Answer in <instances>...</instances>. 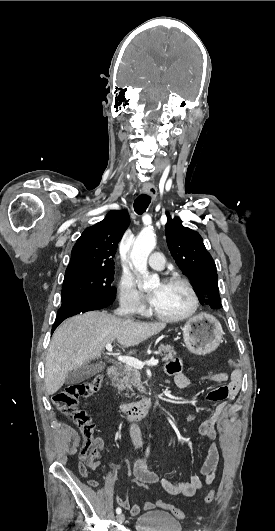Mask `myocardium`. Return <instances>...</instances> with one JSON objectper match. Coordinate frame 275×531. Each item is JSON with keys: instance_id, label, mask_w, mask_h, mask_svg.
Masks as SVG:
<instances>
[{"instance_id": "f54148a6", "label": "myocardium", "mask_w": 275, "mask_h": 531, "mask_svg": "<svg viewBox=\"0 0 275 531\" xmlns=\"http://www.w3.org/2000/svg\"><path fill=\"white\" fill-rule=\"evenodd\" d=\"M163 282H176V283H179V284L183 285L187 289V291L189 292V295H190V298H191V305H190V308L188 309V311H186L185 313H183L181 315H178V316H165V315H162L159 312H157L156 309L154 308V304H152V311H153L154 315L158 319H160L162 321H165V322H170V323L185 321V320L189 319L192 315H194L195 312L198 309V306H199V299H198L197 292H196L194 286L192 285V283L187 278H185L183 276H180V275L169 276V277L165 278Z\"/></svg>"}]
</instances>
